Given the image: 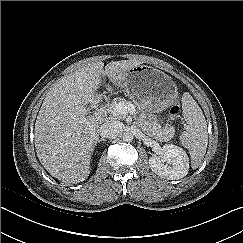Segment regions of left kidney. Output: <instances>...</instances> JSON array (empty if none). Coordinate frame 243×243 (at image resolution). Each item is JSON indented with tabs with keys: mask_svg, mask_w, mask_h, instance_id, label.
Masks as SVG:
<instances>
[{
	"mask_svg": "<svg viewBox=\"0 0 243 243\" xmlns=\"http://www.w3.org/2000/svg\"><path fill=\"white\" fill-rule=\"evenodd\" d=\"M149 166L157 175L175 180L188 174L189 158L182 148L173 144H165L159 156L149 158Z\"/></svg>",
	"mask_w": 243,
	"mask_h": 243,
	"instance_id": "obj_1",
	"label": "left kidney"
}]
</instances>
